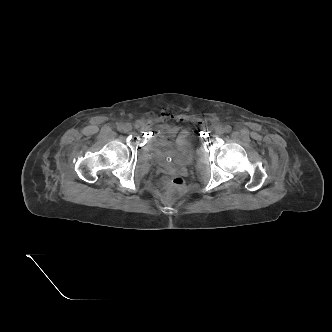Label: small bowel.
I'll list each match as a JSON object with an SVG mask.
<instances>
[{
	"label": "small bowel",
	"mask_w": 332,
	"mask_h": 332,
	"mask_svg": "<svg viewBox=\"0 0 332 332\" xmlns=\"http://www.w3.org/2000/svg\"><path fill=\"white\" fill-rule=\"evenodd\" d=\"M160 132L162 134L160 142L162 144L172 145L173 143L168 140L169 135L178 134L174 144H181L191 133L188 128H179L178 126H171L168 124H163L160 127Z\"/></svg>",
	"instance_id": "c3829d8e"
}]
</instances>
